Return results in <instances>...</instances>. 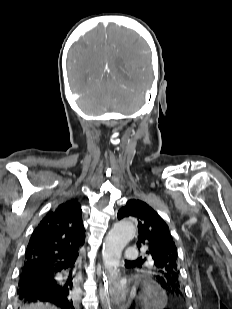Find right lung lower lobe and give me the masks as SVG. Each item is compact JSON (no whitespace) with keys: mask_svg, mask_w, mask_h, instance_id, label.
<instances>
[{"mask_svg":"<svg viewBox=\"0 0 232 309\" xmlns=\"http://www.w3.org/2000/svg\"><path fill=\"white\" fill-rule=\"evenodd\" d=\"M37 263L25 262L16 292L18 309L30 303L50 302L61 309H75L72 278L64 273L74 263L54 264L39 268Z\"/></svg>","mask_w":232,"mask_h":309,"instance_id":"98d812e1","label":"right lung lower lobe"}]
</instances>
